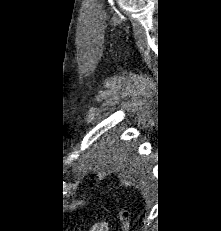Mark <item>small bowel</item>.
Wrapping results in <instances>:
<instances>
[{
  "label": "small bowel",
  "instance_id": "1",
  "mask_svg": "<svg viewBox=\"0 0 221 231\" xmlns=\"http://www.w3.org/2000/svg\"><path fill=\"white\" fill-rule=\"evenodd\" d=\"M90 231H108V224L106 222L97 223Z\"/></svg>",
  "mask_w": 221,
  "mask_h": 231
}]
</instances>
